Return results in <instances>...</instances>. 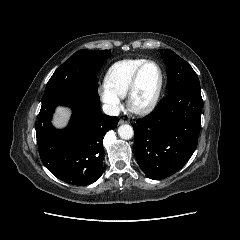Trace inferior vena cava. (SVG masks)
Here are the masks:
<instances>
[{
	"instance_id": "602c4592",
	"label": "inferior vena cava",
	"mask_w": 240,
	"mask_h": 240,
	"mask_svg": "<svg viewBox=\"0 0 240 240\" xmlns=\"http://www.w3.org/2000/svg\"><path fill=\"white\" fill-rule=\"evenodd\" d=\"M102 109L105 114L110 115V116H118L119 112H120V109L118 106L111 105V104H104L102 106Z\"/></svg>"
}]
</instances>
